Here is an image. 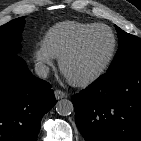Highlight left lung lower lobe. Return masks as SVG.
Instances as JSON below:
<instances>
[{"mask_svg": "<svg viewBox=\"0 0 141 141\" xmlns=\"http://www.w3.org/2000/svg\"><path fill=\"white\" fill-rule=\"evenodd\" d=\"M71 100L86 141H140V62L106 72Z\"/></svg>", "mask_w": 141, "mask_h": 141, "instance_id": "1", "label": "left lung lower lobe"}]
</instances>
